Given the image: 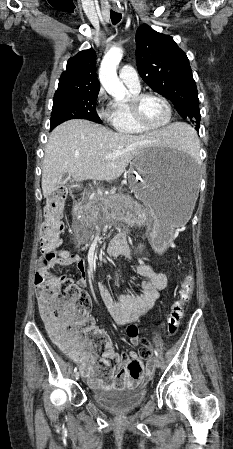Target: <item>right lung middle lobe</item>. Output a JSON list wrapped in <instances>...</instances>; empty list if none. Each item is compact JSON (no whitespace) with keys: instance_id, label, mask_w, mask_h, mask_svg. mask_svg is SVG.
I'll use <instances>...</instances> for the list:
<instances>
[{"instance_id":"right-lung-middle-lobe-1","label":"right lung middle lobe","mask_w":233,"mask_h":449,"mask_svg":"<svg viewBox=\"0 0 233 449\" xmlns=\"http://www.w3.org/2000/svg\"><path fill=\"white\" fill-rule=\"evenodd\" d=\"M97 96L98 92L55 95L50 119L51 129L70 119H87L102 123L95 108Z\"/></svg>"}]
</instances>
